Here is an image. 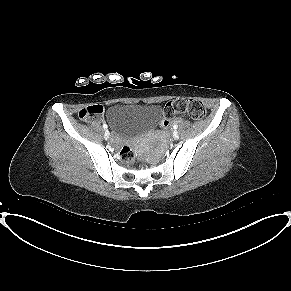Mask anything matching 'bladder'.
I'll use <instances>...</instances> for the list:
<instances>
[{"label":"bladder","instance_id":"1","mask_svg":"<svg viewBox=\"0 0 291 291\" xmlns=\"http://www.w3.org/2000/svg\"><path fill=\"white\" fill-rule=\"evenodd\" d=\"M161 119L158 105L114 103L106 113V120L113 134L131 138L154 127Z\"/></svg>","mask_w":291,"mask_h":291}]
</instances>
